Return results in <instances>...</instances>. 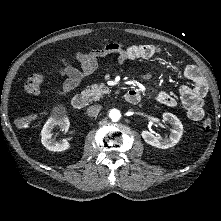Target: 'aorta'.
<instances>
[{
	"mask_svg": "<svg viewBox=\"0 0 221 221\" xmlns=\"http://www.w3.org/2000/svg\"><path fill=\"white\" fill-rule=\"evenodd\" d=\"M109 117L112 121H118L121 118V113L117 109H112L109 112Z\"/></svg>",
	"mask_w": 221,
	"mask_h": 221,
	"instance_id": "obj_1",
	"label": "aorta"
}]
</instances>
